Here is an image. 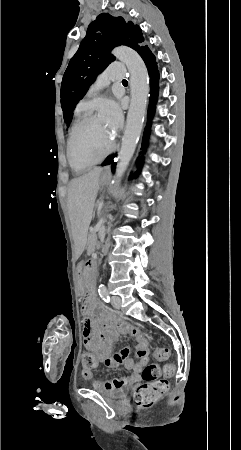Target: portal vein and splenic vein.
<instances>
[{"instance_id":"obj_1","label":"portal vein and splenic vein","mask_w":241,"mask_h":450,"mask_svg":"<svg viewBox=\"0 0 241 450\" xmlns=\"http://www.w3.org/2000/svg\"><path fill=\"white\" fill-rule=\"evenodd\" d=\"M103 225L102 221H97L96 231H101V226Z\"/></svg>"}]
</instances>
